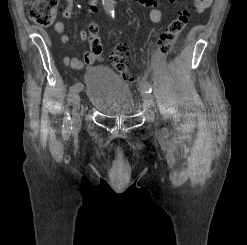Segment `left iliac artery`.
<instances>
[{"mask_svg":"<svg viewBox=\"0 0 247 245\" xmlns=\"http://www.w3.org/2000/svg\"><path fill=\"white\" fill-rule=\"evenodd\" d=\"M141 86H142V88H144L145 89V91L147 92V93H151L152 92V87H151V85H150V83L149 82H147V81H142V83H141Z\"/></svg>","mask_w":247,"mask_h":245,"instance_id":"44dca946","label":"left iliac artery"}]
</instances>
